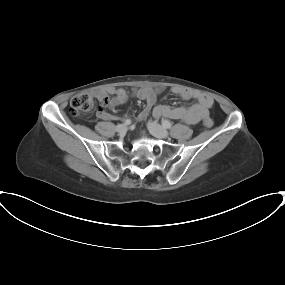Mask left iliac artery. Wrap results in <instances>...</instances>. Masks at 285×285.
<instances>
[{"label": "left iliac artery", "instance_id": "left-iliac-artery-1", "mask_svg": "<svg viewBox=\"0 0 285 285\" xmlns=\"http://www.w3.org/2000/svg\"><path fill=\"white\" fill-rule=\"evenodd\" d=\"M162 125L166 129H171V127H172V124L168 120H162Z\"/></svg>", "mask_w": 285, "mask_h": 285}]
</instances>
